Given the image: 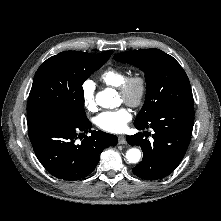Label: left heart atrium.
I'll list each match as a JSON object with an SVG mask.
<instances>
[{
  "mask_svg": "<svg viewBox=\"0 0 221 221\" xmlns=\"http://www.w3.org/2000/svg\"><path fill=\"white\" fill-rule=\"evenodd\" d=\"M132 115L126 107L115 110L104 111L96 119V125L107 132L119 133L126 129L127 123L131 120Z\"/></svg>",
  "mask_w": 221,
  "mask_h": 221,
  "instance_id": "left-heart-atrium-1",
  "label": "left heart atrium"
}]
</instances>
